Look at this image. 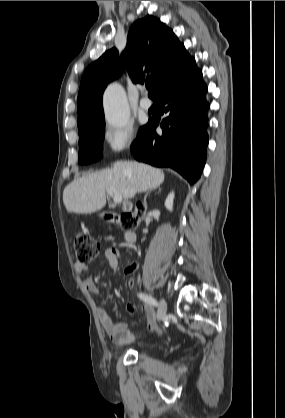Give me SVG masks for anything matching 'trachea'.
Wrapping results in <instances>:
<instances>
[{
	"label": "trachea",
	"instance_id": "trachea-1",
	"mask_svg": "<svg viewBox=\"0 0 285 418\" xmlns=\"http://www.w3.org/2000/svg\"><path fill=\"white\" fill-rule=\"evenodd\" d=\"M146 88L150 89L151 88V84H146Z\"/></svg>",
	"mask_w": 285,
	"mask_h": 418
}]
</instances>
